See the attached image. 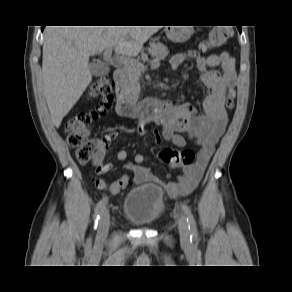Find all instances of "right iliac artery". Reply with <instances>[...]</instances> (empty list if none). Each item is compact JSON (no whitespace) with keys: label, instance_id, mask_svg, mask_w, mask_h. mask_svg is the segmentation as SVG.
Masks as SVG:
<instances>
[{"label":"right iliac artery","instance_id":"obj_1","mask_svg":"<svg viewBox=\"0 0 292 292\" xmlns=\"http://www.w3.org/2000/svg\"><path fill=\"white\" fill-rule=\"evenodd\" d=\"M108 202V197L104 196L98 203L95 212H94V220H95V226H97L98 221L100 219L101 214L103 213L105 206Z\"/></svg>","mask_w":292,"mask_h":292}]
</instances>
